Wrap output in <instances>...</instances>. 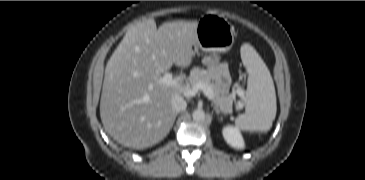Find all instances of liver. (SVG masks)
Listing matches in <instances>:
<instances>
[{
    "instance_id": "liver-1",
    "label": "liver",
    "mask_w": 365,
    "mask_h": 180,
    "mask_svg": "<svg viewBox=\"0 0 365 180\" xmlns=\"http://www.w3.org/2000/svg\"><path fill=\"white\" fill-rule=\"evenodd\" d=\"M197 22H167L157 29L148 19L128 28L106 65L100 100L103 126L118 143L142 149L169 133L171 99L182 92L160 78L173 64L190 66Z\"/></svg>"
}]
</instances>
